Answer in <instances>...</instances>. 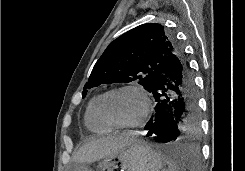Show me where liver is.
<instances>
[{
  "label": "liver",
  "instance_id": "6515ba94",
  "mask_svg": "<svg viewBox=\"0 0 245 171\" xmlns=\"http://www.w3.org/2000/svg\"><path fill=\"white\" fill-rule=\"evenodd\" d=\"M136 141L134 133H122L91 140L84 144L75 154L76 163H91L116 153L121 148Z\"/></svg>",
  "mask_w": 245,
  "mask_h": 171
}]
</instances>
